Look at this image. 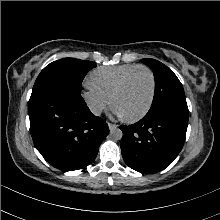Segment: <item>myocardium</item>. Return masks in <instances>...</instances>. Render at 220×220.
Here are the masks:
<instances>
[{"instance_id":"myocardium-1","label":"myocardium","mask_w":220,"mask_h":220,"mask_svg":"<svg viewBox=\"0 0 220 220\" xmlns=\"http://www.w3.org/2000/svg\"><path fill=\"white\" fill-rule=\"evenodd\" d=\"M140 69H143V70L147 71L148 74L150 75L151 83H152V89H151V94H150L148 104L146 105V107L144 108V110L141 113H139L138 115L133 116V117H123L125 121L130 122V123H134V122H137V121L143 119L148 114V112L150 111V109L153 105V102H154V99H155V94H156V77H155V74L152 71V69H150L148 66H145V65L135 66L122 78V80L120 81L118 86L115 88V90H114V92L111 96L112 106L115 107L116 98L123 91V89L125 88L128 80L130 79L132 74L135 71L140 70Z\"/></svg>"}]
</instances>
